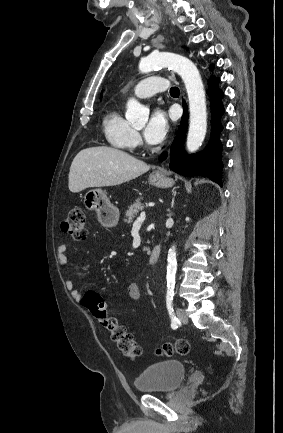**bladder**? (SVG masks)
<instances>
[{"instance_id":"31cf9c89","label":"bladder","mask_w":283,"mask_h":433,"mask_svg":"<svg viewBox=\"0 0 283 433\" xmlns=\"http://www.w3.org/2000/svg\"><path fill=\"white\" fill-rule=\"evenodd\" d=\"M185 378V364L178 360H166L153 363L142 371L135 379V387L139 392L173 391Z\"/></svg>"}]
</instances>
